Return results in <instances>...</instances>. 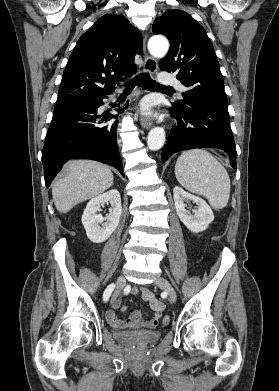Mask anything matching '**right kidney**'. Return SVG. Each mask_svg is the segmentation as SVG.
<instances>
[{
    "label": "right kidney",
    "instance_id": "ca27d5eb",
    "mask_svg": "<svg viewBox=\"0 0 279 391\" xmlns=\"http://www.w3.org/2000/svg\"><path fill=\"white\" fill-rule=\"evenodd\" d=\"M105 203H110L111 208L109 209V215L103 217L97 212L101 211L100 206ZM121 213V196L118 190L112 189L92 198L88 202L81 219L87 237L94 243L106 241L117 228Z\"/></svg>",
    "mask_w": 279,
    "mask_h": 391
}]
</instances>
